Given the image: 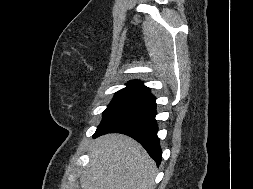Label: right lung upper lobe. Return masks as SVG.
<instances>
[{
  "mask_svg": "<svg viewBox=\"0 0 253 189\" xmlns=\"http://www.w3.org/2000/svg\"><path fill=\"white\" fill-rule=\"evenodd\" d=\"M124 89L138 90L150 94V90L146 86H144L142 82L138 80L128 82L127 87Z\"/></svg>",
  "mask_w": 253,
  "mask_h": 189,
  "instance_id": "cb5924a9",
  "label": "right lung upper lobe"
}]
</instances>
